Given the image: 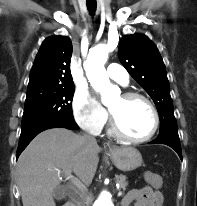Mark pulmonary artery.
Here are the masks:
<instances>
[{"mask_svg":"<svg viewBox=\"0 0 197 206\" xmlns=\"http://www.w3.org/2000/svg\"><path fill=\"white\" fill-rule=\"evenodd\" d=\"M107 74L110 79L121 83L122 85H126L128 83V73L125 68L116 63H112L107 67Z\"/></svg>","mask_w":197,"mask_h":206,"instance_id":"obj_1","label":"pulmonary artery"}]
</instances>
